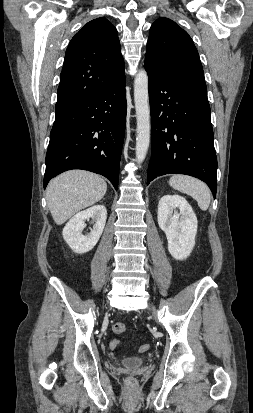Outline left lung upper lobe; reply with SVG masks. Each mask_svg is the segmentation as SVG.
<instances>
[{
  "label": "left lung upper lobe",
  "mask_w": 253,
  "mask_h": 413,
  "mask_svg": "<svg viewBox=\"0 0 253 413\" xmlns=\"http://www.w3.org/2000/svg\"><path fill=\"white\" fill-rule=\"evenodd\" d=\"M145 63L172 83L208 100L198 51L187 32L174 21L162 17L153 23Z\"/></svg>",
  "instance_id": "obj_1"
}]
</instances>
